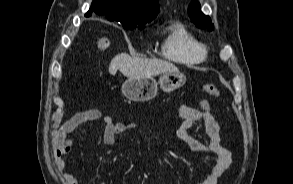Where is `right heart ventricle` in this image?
<instances>
[{
  "instance_id": "obj_1",
  "label": "right heart ventricle",
  "mask_w": 293,
  "mask_h": 184,
  "mask_svg": "<svg viewBox=\"0 0 293 184\" xmlns=\"http://www.w3.org/2000/svg\"><path fill=\"white\" fill-rule=\"evenodd\" d=\"M161 54L168 60L194 65L207 56L205 45L182 24L174 23L167 28L161 44Z\"/></svg>"
}]
</instances>
